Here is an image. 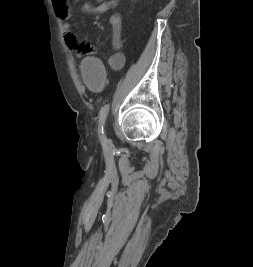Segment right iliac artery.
<instances>
[{
  "instance_id": "82829eb1",
  "label": "right iliac artery",
  "mask_w": 253,
  "mask_h": 267,
  "mask_svg": "<svg viewBox=\"0 0 253 267\" xmlns=\"http://www.w3.org/2000/svg\"><path fill=\"white\" fill-rule=\"evenodd\" d=\"M108 111H109V104H106L101 108L100 117H99L98 135H99V139H100L101 143H103V144H105L107 141V138L104 134V127L103 126H104Z\"/></svg>"
}]
</instances>
